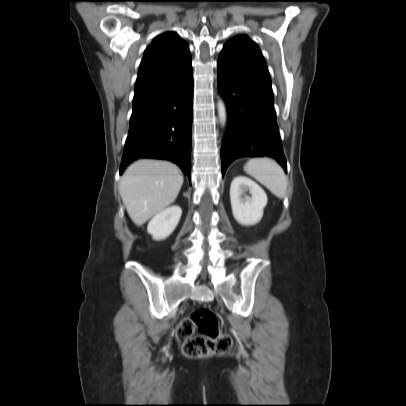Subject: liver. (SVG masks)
<instances>
[{
	"label": "liver",
	"mask_w": 406,
	"mask_h": 406,
	"mask_svg": "<svg viewBox=\"0 0 406 406\" xmlns=\"http://www.w3.org/2000/svg\"><path fill=\"white\" fill-rule=\"evenodd\" d=\"M182 184L183 176L176 165L143 159L128 167L119 192L130 218L141 226L175 201Z\"/></svg>",
	"instance_id": "liver-1"
}]
</instances>
